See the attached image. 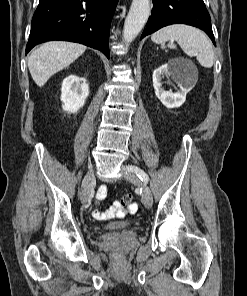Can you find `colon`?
Listing matches in <instances>:
<instances>
[{
    "label": "colon",
    "mask_w": 247,
    "mask_h": 296,
    "mask_svg": "<svg viewBox=\"0 0 247 296\" xmlns=\"http://www.w3.org/2000/svg\"><path fill=\"white\" fill-rule=\"evenodd\" d=\"M133 201V195L131 193L125 194L120 201H118L117 208L112 211V213L108 214L109 216H119L120 211L118 210L121 206H128ZM132 211H135L136 209H131Z\"/></svg>",
    "instance_id": "5ec220e1"
}]
</instances>
